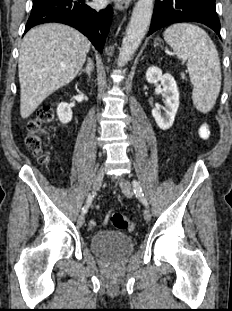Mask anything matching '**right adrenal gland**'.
<instances>
[{"mask_svg": "<svg viewBox=\"0 0 232 311\" xmlns=\"http://www.w3.org/2000/svg\"><path fill=\"white\" fill-rule=\"evenodd\" d=\"M93 69H94V63H93V61L90 58H88L87 59V66L84 69H82L79 74L84 72L90 78L91 74L93 72Z\"/></svg>", "mask_w": 232, "mask_h": 311, "instance_id": "obj_1", "label": "right adrenal gland"}]
</instances>
